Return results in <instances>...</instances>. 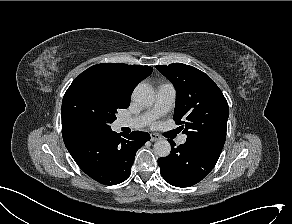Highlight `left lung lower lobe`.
Returning a JSON list of instances; mask_svg holds the SVG:
<instances>
[{
    "label": "left lung lower lobe",
    "instance_id": "0a47b994",
    "mask_svg": "<svg viewBox=\"0 0 292 224\" xmlns=\"http://www.w3.org/2000/svg\"><path fill=\"white\" fill-rule=\"evenodd\" d=\"M171 154L158 159L162 177L175 187H188L201 181L214 168L220 155L195 144L186 142L175 147L173 140Z\"/></svg>",
    "mask_w": 292,
    "mask_h": 224
}]
</instances>
